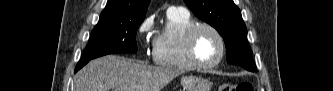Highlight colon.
Returning <instances> with one entry per match:
<instances>
[{"instance_id": "obj_1", "label": "colon", "mask_w": 333, "mask_h": 91, "mask_svg": "<svg viewBox=\"0 0 333 91\" xmlns=\"http://www.w3.org/2000/svg\"><path fill=\"white\" fill-rule=\"evenodd\" d=\"M250 82H241L238 84H224L220 87V91H252Z\"/></svg>"}]
</instances>
